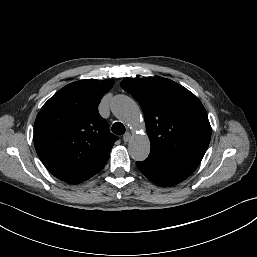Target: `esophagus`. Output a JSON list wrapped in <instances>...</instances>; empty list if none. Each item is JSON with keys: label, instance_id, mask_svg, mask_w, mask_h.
Here are the masks:
<instances>
[{"label": "esophagus", "instance_id": "esophagus-1", "mask_svg": "<svg viewBox=\"0 0 257 257\" xmlns=\"http://www.w3.org/2000/svg\"><path fill=\"white\" fill-rule=\"evenodd\" d=\"M130 137H131V135H130V133H125L124 135H123V141L126 143V142H128L129 140H130Z\"/></svg>", "mask_w": 257, "mask_h": 257}]
</instances>
